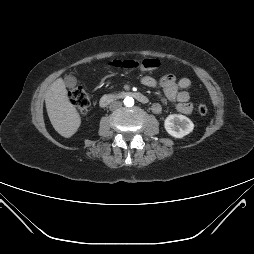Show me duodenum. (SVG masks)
I'll return each instance as SVG.
<instances>
[{
  "label": "duodenum",
  "instance_id": "duodenum-1",
  "mask_svg": "<svg viewBox=\"0 0 254 254\" xmlns=\"http://www.w3.org/2000/svg\"><path fill=\"white\" fill-rule=\"evenodd\" d=\"M128 96L135 98L136 100H138L139 102H141L143 104L148 103V98L140 92L122 91V92L108 93V94L103 95L100 98L99 104H100L101 107H106L111 102H113L115 100H118V99L128 97Z\"/></svg>",
  "mask_w": 254,
  "mask_h": 254
}]
</instances>
